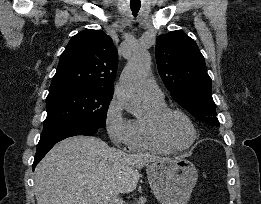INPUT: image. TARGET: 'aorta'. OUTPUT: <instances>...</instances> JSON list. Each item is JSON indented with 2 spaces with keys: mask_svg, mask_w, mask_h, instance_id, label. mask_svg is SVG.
<instances>
[{
  "mask_svg": "<svg viewBox=\"0 0 261 204\" xmlns=\"http://www.w3.org/2000/svg\"><path fill=\"white\" fill-rule=\"evenodd\" d=\"M151 66V55L147 50H138L123 69L116 94L126 111L135 117L143 113L140 85Z\"/></svg>",
  "mask_w": 261,
  "mask_h": 204,
  "instance_id": "1",
  "label": "aorta"
}]
</instances>
